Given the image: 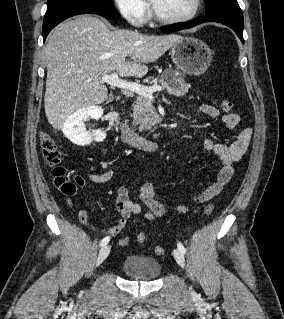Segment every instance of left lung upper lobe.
<instances>
[{
    "label": "left lung upper lobe",
    "mask_w": 284,
    "mask_h": 319,
    "mask_svg": "<svg viewBox=\"0 0 284 319\" xmlns=\"http://www.w3.org/2000/svg\"><path fill=\"white\" fill-rule=\"evenodd\" d=\"M206 15L216 13H236L242 14L237 0H205Z\"/></svg>",
    "instance_id": "5c2ea615"
}]
</instances>
